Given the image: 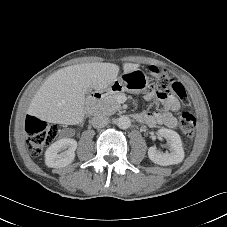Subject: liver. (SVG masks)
<instances>
[{
  "label": "liver",
  "mask_w": 227,
  "mask_h": 227,
  "mask_svg": "<svg viewBox=\"0 0 227 227\" xmlns=\"http://www.w3.org/2000/svg\"><path fill=\"white\" fill-rule=\"evenodd\" d=\"M139 64L125 63L124 72ZM119 66L113 63H85L59 69L49 76L33 97L28 112L49 123L77 125L84 119L88 88L104 91L117 78Z\"/></svg>",
  "instance_id": "obj_1"
}]
</instances>
